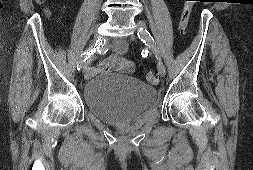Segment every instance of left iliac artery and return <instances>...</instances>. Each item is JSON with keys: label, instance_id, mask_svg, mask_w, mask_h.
Listing matches in <instances>:
<instances>
[{"label": "left iliac artery", "instance_id": "44dca946", "mask_svg": "<svg viewBox=\"0 0 253 170\" xmlns=\"http://www.w3.org/2000/svg\"><path fill=\"white\" fill-rule=\"evenodd\" d=\"M137 35L141 39V41H143L146 45H149L152 48L156 58L160 59L159 50L151 34L146 29L140 28Z\"/></svg>", "mask_w": 253, "mask_h": 170}]
</instances>
